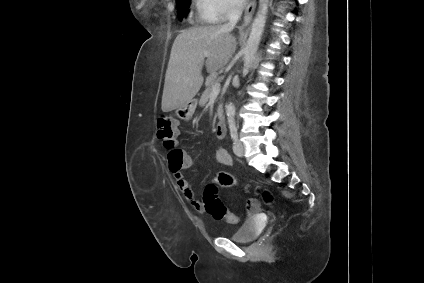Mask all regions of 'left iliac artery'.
Here are the masks:
<instances>
[{"label": "left iliac artery", "mask_w": 424, "mask_h": 283, "mask_svg": "<svg viewBox=\"0 0 424 283\" xmlns=\"http://www.w3.org/2000/svg\"><path fill=\"white\" fill-rule=\"evenodd\" d=\"M230 134H231V138L233 141H237L238 139V133H237V126L234 125H230Z\"/></svg>", "instance_id": "obj_1"}]
</instances>
